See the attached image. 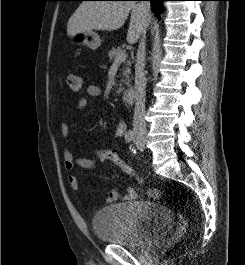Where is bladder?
I'll return each mask as SVG.
<instances>
[{
    "mask_svg": "<svg viewBox=\"0 0 245 265\" xmlns=\"http://www.w3.org/2000/svg\"><path fill=\"white\" fill-rule=\"evenodd\" d=\"M171 223L168 210L146 201L117 202L98 210L92 219L96 236L107 243L137 248L162 237Z\"/></svg>",
    "mask_w": 245,
    "mask_h": 265,
    "instance_id": "1",
    "label": "bladder"
}]
</instances>
